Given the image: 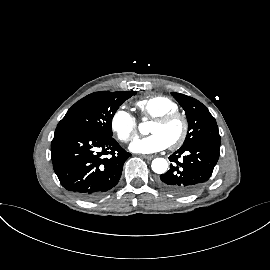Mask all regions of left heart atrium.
Wrapping results in <instances>:
<instances>
[{
  "instance_id": "1",
  "label": "left heart atrium",
  "mask_w": 270,
  "mask_h": 270,
  "mask_svg": "<svg viewBox=\"0 0 270 270\" xmlns=\"http://www.w3.org/2000/svg\"><path fill=\"white\" fill-rule=\"evenodd\" d=\"M169 143L159 134H151L144 138L134 139L129 148L132 152L151 154L165 150Z\"/></svg>"
}]
</instances>
